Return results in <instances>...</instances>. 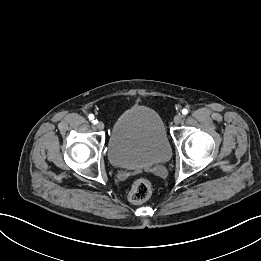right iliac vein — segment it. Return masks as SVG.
Instances as JSON below:
<instances>
[{
    "label": "right iliac vein",
    "mask_w": 261,
    "mask_h": 261,
    "mask_svg": "<svg viewBox=\"0 0 261 261\" xmlns=\"http://www.w3.org/2000/svg\"><path fill=\"white\" fill-rule=\"evenodd\" d=\"M95 127L98 129V130H103L104 129V123L99 121L96 123Z\"/></svg>",
    "instance_id": "right-iliac-vein-1"
}]
</instances>
